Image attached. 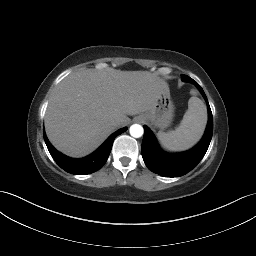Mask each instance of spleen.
Here are the masks:
<instances>
[{
  "label": "spleen",
  "instance_id": "obj_1",
  "mask_svg": "<svg viewBox=\"0 0 256 256\" xmlns=\"http://www.w3.org/2000/svg\"><path fill=\"white\" fill-rule=\"evenodd\" d=\"M206 121L207 110L204 102L193 96L188 101V109L179 127L169 132H158V139L168 150H186L201 138Z\"/></svg>",
  "mask_w": 256,
  "mask_h": 256
}]
</instances>
